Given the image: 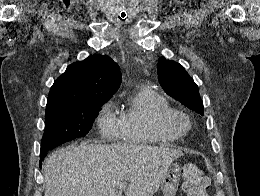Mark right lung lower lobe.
I'll return each instance as SVG.
<instances>
[{"instance_id":"98d812e1","label":"right lung lower lobe","mask_w":260,"mask_h":196,"mask_svg":"<svg viewBox=\"0 0 260 196\" xmlns=\"http://www.w3.org/2000/svg\"><path fill=\"white\" fill-rule=\"evenodd\" d=\"M51 149H41L40 151V159L41 161L43 160L44 156L46 155V152L49 151ZM41 161H40V164H41Z\"/></svg>"}]
</instances>
